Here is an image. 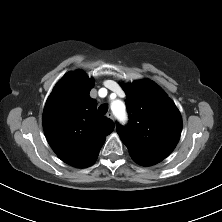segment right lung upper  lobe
<instances>
[{"label": "right lung upper lobe", "instance_id": "1", "mask_svg": "<svg viewBox=\"0 0 222 222\" xmlns=\"http://www.w3.org/2000/svg\"><path fill=\"white\" fill-rule=\"evenodd\" d=\"M94 80L77 70L63 76L49 96L43 112V128L53 151L65 163L89 167L96 161L114 122L97 113L89 96Z\"/></svg>", "mask_w": 222, "mask_h": 222}]
</instances>
